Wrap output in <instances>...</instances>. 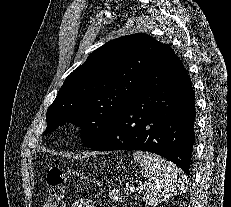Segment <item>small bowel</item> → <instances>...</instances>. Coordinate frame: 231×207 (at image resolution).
Here are the masks:
<instances>
[{
	"instance_id": "1",
	"label": "small bowel",
	"mask_w": 231,
	"mask_h": 207,
	"mask_svg": "<svg viewBox=\"0 0 231 207\" xmlns=\"http://www.w3.org/2000/svg\"><path fill=\"white\" fill-rule=\"evenodd\" d=\"M71 207H96L91 200L88 199H77L74 201Z\"/></svg>"
}]
</instances>
